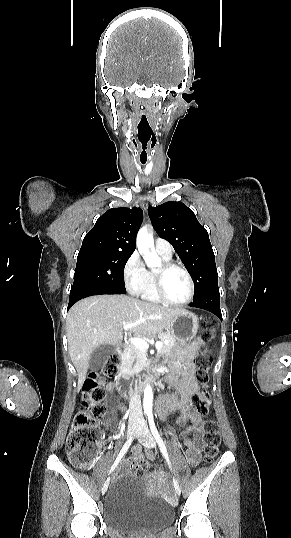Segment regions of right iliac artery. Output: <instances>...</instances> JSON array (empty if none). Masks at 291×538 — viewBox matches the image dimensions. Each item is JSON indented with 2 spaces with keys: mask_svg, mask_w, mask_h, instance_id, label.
<instances>
[{
  "mask_svg": "<svg viewBox=\"0 0 291 538\" xmlns=\"http://www.w3.org/2000/svg\"><path fill=\"white\" fill-rule=\"evenodd\" d=\"M133 441V437L130 438L125 444L124 446L122 447L118 457L116 458L114 464L112 465L111 469H110V473L114 471V469L116 468V466L118 465L119 461L121 460V458L126 454L127 450L129 449L131 443Z\"/></svg>",
  "mask_w": 291,
  "mask_h": 538,
  "instance_id": "obj_1",
  "label": "right iliac artery"
}]
</instances>
